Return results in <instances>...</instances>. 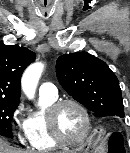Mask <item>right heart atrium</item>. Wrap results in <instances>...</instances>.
<instances>
[{
  "label": "right heart atrium",
  "mask_w": 130,
  "mask_h": 153,
  "mask_svg": "<svg viewBox=\"0 0 130 153\" xmlns=\"http://www.w3.org/2000/svg\"><path fill=\"white\" fill-rule=\"evenodd\" d=\"M12 125L17 133L19 142L27 141L28 119L24 117V105L20 102L12 113Z\"/></svg>",
  "instance_id": "obj_1"
}]
</instances>
